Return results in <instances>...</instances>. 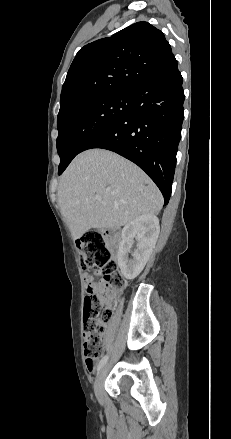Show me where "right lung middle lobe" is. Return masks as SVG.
Masks as SVG:
<instances>
[{"label": "right lung middle lobe", "instance_id": "right-lung-middle-lobe-1", "mask_svg": "<svg viewBox=\"0 0 231 439\" xmlns=\"http://www.w3.org/2000/svg\"><path fill=\"white\" fill-rule=\"evenodd\" d=\"M132 105L133 94L100 95L58 114L57 151L61 159L58 174L92 136L130 111Z\"/></svg>", "mask_w": 231, "mask_h": 439}]
</instances>
